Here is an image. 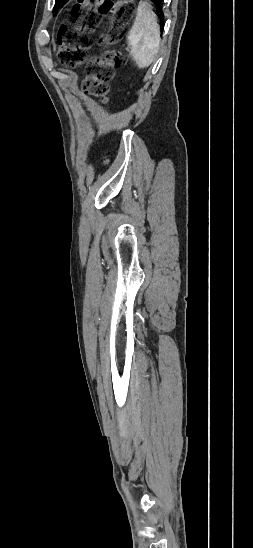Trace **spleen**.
Segmentation results:
<instances>
[{"label": "spleen", "mask_w": 253, "mask_h": 548, "mask_svg": "<svg viewBox=\"0 0 253 548\" xmlns=\"http://www.w3.org/2000/svg\"><path fill=\"white\" fill-rule=\"evenodd\" d=\"M127 40L131 46L130 55L139 68H147L155 61L160 46V27L148 3L139 2Z\"/></svg>", "instance_id": "3e777b00"}]
</instances>
